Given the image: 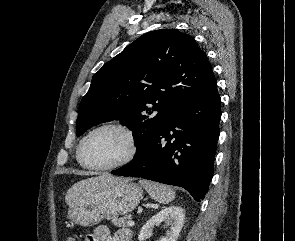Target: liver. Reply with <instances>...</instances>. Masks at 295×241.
I'll list each match as a JSON object with an SVG mask.
<instances>
[{"label": "liver", "mask_w": 295, "mask_h": 241, "mask_svg": "<svg viewBox=\"0 0 295 241\" xmlns=\"http://www.w3.org/2000/svg\"><path fill=\"white\" fill-rule=\"evenodd\" d=\"M121 178L114 177L108 173H103L96 177L87 178L75 183L68 191L65 196V201L70 204L72 200L91 189L98 188L101 185L112 183L120 180Z\"/></svg>", "instance_id": "obj_1"}]
</instances>
